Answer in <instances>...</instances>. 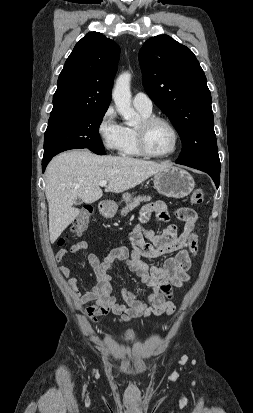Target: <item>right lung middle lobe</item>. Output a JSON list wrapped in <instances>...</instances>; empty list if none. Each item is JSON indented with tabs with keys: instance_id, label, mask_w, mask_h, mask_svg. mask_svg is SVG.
<instances>
[{
	"instance_id": "dd1d6c3e",
	"label": "right lung middle lobe",
	"mask_w": 253,
	"mask_h": 413,
	"mask_svg": "<svg viewBox=\"0 0 253 413\" xmlns=\"http://www.w3.org/2000/svg\"><path fill=\"white\" fill-rule=\"evenodd\" d=\"M106 111L66 112L50 116L43 158L69 149H103L99 126Z\"/></svg>"
}]
</instances>
